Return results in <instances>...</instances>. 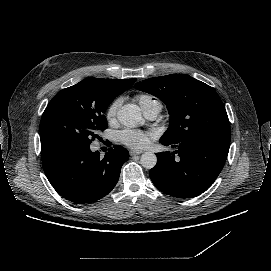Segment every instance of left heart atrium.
Returning <instances> with one entry per match:
<instances>
[{
    "instance_id": "39dd6f15",
    "label": "left heart atrium",
    "mask_w": 271,
    "mask_h": 271,
    "mask_svg": "<svg viewBox=\"0 0 271 271\" xmlns=\"http://www.w3.org/2000/svg\"><path fill=\"white\" fill-rule=\"evenodd\" d=\"M117 138L127 147L139 149L148 144L150 134L138 129H124L118 132Z\"/></svg>"
}]
</instances>
